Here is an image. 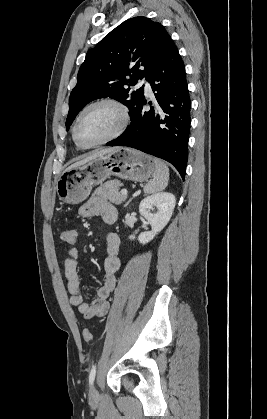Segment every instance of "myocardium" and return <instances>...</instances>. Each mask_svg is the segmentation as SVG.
Here are the masks:
<instances>
[{
  "label": "myocardium",
  "instance_id": "1",
  "mask_svg": "<svg viewBox=\"0 0 267 419\" xmlns=\"http://www.w3.org/2000/svg\"><path fill=\"white\" fill-rule=\"evenodd\" d=\"M99 105H110V106L114 107L119 113L120 122H119L118 126L115 128V130L111 134H109L108 136L103 138L102 140H100L96 143L90 144V145L83 144L79 140L78 134H77L79 122H80L82 116L84 115V113L86 111H88L89 109H91L95 106H99ZM129 122H130V112H129L128 107L123 102H121L118 99L110 98V97L100 98V99H97V100H94V101L88 103L86 106H84L82 108V110L77 115V117L75 119V122H74V126H73V139H74L75 143L77 144V146H79L80 148H83V149L95 148V147L101 146L103 144H106V143L116 139L117 137H119L125 131V129L129 125Z\"/></svg>",
  "mask_w": 267,
  "mask_h": 419
}]
</instances>
